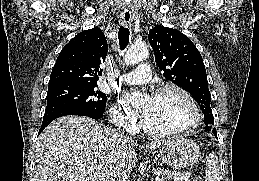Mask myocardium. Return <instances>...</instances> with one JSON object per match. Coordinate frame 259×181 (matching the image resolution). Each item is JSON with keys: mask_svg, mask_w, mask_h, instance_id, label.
I'll list each match as a JSON object with an SVG mask.
<instances>
[{"mask_svg": "<svg viewBox=\"0 0 259 181\" xmlns=\"http://www.w3.org/2000/svg\"><path fill=\"white\" fill-rule=\"evenodd\" d=\"M168 91H174L181 95L185 101L188 103L191 112H192V119L191 122L189 123L188 126L179 129V130H172V131H159L150 128L143 119H141V127L143 130L154 137H159V138H168V137H181L190 134L192 131L195 130V128L198 126L201 120V114H200V109L195 101V99L192 97V95L185 90L183 87L177 85V84H164L159 87H157L153 91V97H156L160 94H163Z\"/></svg>", "mask_w": 259, "mask_h": 181, "instance_id": "myocardium-1", "label": "myocardium"}]
</instances>
